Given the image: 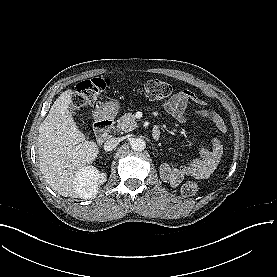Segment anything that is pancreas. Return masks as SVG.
Wrapping results in <instances>:
<instances>
[{
	"label": "pancreas",
	"instance_id": "obj_1",
	"mask_svg": "<svg viewBox=\"0 0 277 277\" xmlns=\"http://www.w3.org/2000/svg\"><path fill=\"white\" fill-rule=\"evenodd\" d=\"M137 127L134 114L125 113L117 120L116 128L118 131L129 132Z\"/></svg>",
	"mask_w": 277,
	"mask_h": 277
}]
</instances>
